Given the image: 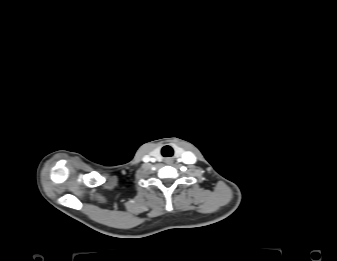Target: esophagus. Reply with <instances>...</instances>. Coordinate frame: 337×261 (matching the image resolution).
Instances as JSON below:
<instances>
[{"mask_svg": "<svg viewBox=\"0 0 337 261\" xmlns=\"http://www.w3.org/2000/svg\"><path fill=\"white\" fill-rule=\"evenodd\" d=\"M172 162H173V159H172V158H166V159H165V163H166V164H172Z\"/></svg>", "mask_w": 337, "mask_h": 261, "instance_id": "esophagus-1", "label": "esophagus"}]
</instances>
